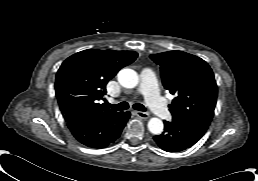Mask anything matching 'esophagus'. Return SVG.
<instances>
[{"instance_id": "34e87169", "label": "esophagus", "mask_w": 258, "mask_h": 181, "mask_svg": "<svg viewBox=\"0 0 258 181\" xmlns=\"http://www.w3.org/2000/svg\"><path fill=\"white\" fill-rule=\"evenodd\" d=\"M136 115L142 119H148L149 114L147 112H142V111H136Z\"/></svg>"}]
</instances>
